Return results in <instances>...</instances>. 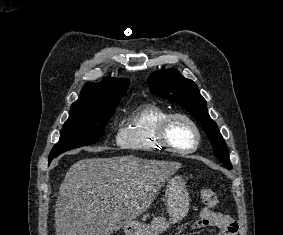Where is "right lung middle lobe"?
<instances>
[{
	"instance_id": "1",
	"label": "right lung middle lobe",
	"mask_w": 283,
	"mask_h": 235,
	"mask_svg": "<svg viewBox=\"0 0 283 235\" xmlns=\"http://www.w3.org/2000/svg\"><path fill=\"white\" fill-rule=\"evenodd\" d=\"M118 104L72 105L69 118L63 125L60 139L51 150L48 161L68 150L97 142Z\"/></svg>"
}]
</instances>
